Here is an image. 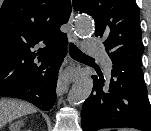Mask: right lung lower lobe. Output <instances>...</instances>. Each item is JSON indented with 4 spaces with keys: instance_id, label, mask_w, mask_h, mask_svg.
Listing matches in <instances>:
<instances>
[{
    "instance_id": "98d812e1",
    "label": "right lung lower lobe",
    "mask_w": 151,
    "mask_h": 131,
    "mask_svg": "<svg viewBox=\"0 0 151 131\" xmlns=\"http://www.w3.org/2000/svg\"><path fill=\"white\" fill-rule=\"evenodd\" d=\"M66 54L67 41L53 48L39 70L4 91H0V96L23 99L41 110H50L56 101L58 70Z\"/></svg>"
}]
</instances>
